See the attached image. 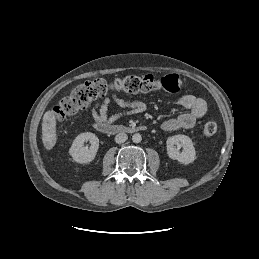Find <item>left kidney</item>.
Wrapping results in <instances>:
<instances>
[{"instance_id":"1","label":"left kidney","mask_w":259,"mask_h":259,"mask_svg":"<svg viewBox=\"0 0 259 259\" xmlns=\"http://www.w3.org/2000/svg\"><path fill=\"white\" fill-rule=\"evenodd\" d=\"M167 154L173 159L182 164L192 163L196 159V152L192 140L186 135H174L166 141ZM177 146V148H176ZM183 148L180 153L179 149Z\"/></svg>"}]
</instances>
